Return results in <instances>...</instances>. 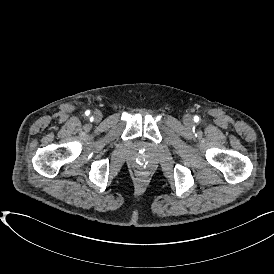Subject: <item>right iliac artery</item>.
Wrapping results in <instances>:
<instances>
[{"mask_svg":"<svg viewBox=\"0 0 274 274\" xmlns=\"http://www.w3.org/2000/svg\"><path fill=\"white\" fill-rule=\"evenodd\" d=\"M85 114H86V115H89V114H90V111H89V110H87V111L85 112Z\"/></svg>","mask_w":274,"mask_h":274,"instance_id":"right-iliac-artery-1","label":"right iliac artery"}]
</instances>
